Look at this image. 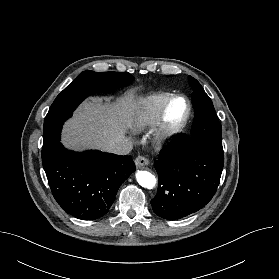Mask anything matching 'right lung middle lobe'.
<instances>
[{
    "label": "right lung middle lobe",
    "mask_w": 279,
    "mask_h": 279,
    "mask_svg": "<svg viewBox=\"0 0 279 279\" xmlns=\"http://www.w3.org/2000/svg\"><path fill=\"white\" fill-rule=\"evenodd\" d=\"M133 81L128 72H82L54 100L44 120L42 160L60 143L62 124L75 108L97 90H114Z\"/></svg>",
    "instance_id": "dd1d6c3e"
}]
</instances>
